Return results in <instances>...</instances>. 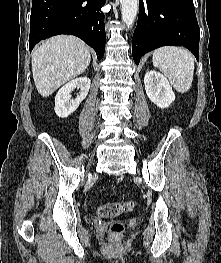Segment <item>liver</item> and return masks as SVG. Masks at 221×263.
<instances>
[{"instance_id": "6515ba94", "label": "liver", "mask_w": 221, "mask_h": 263, "mask_svg": "<svg viewBox=\"0 0 221 263\" xmlns=\"http://www.w3.org/2000/svg\"><path fill=\"white\" fill-rule=\"evenodd\" d=\"M90 60L87 45L77 37L59 35L46 40L32 53V74L38 93L48 97L82 74Z\"/></svg>"}]
</instances>
